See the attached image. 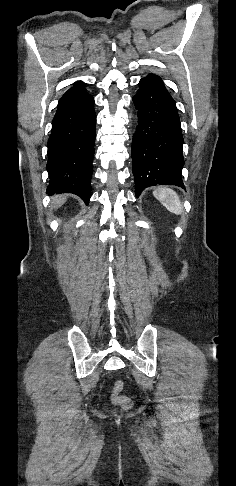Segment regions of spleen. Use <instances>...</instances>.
<instances>
[{
    "label": "spleen",
    "mask_w": 236,
    "mask_h": 486,
    "mask_svg": "<svg viewBox=\"0 0 236 486\" xmlns=\"http://www.w3.org/2000/svg\"><path fill=\"white\" fill-rule=\"evenodd\" d=\"M154 197L159 200L170 212L180 215L183 207L178 194L166 187L158 188L153 191Z\"/></svg>",
    "instance_id": "1"
}]
</instances>
